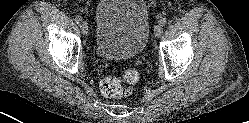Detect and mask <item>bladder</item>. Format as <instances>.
Listing matches in <instances>:
<instances>
[{
	"mask_svg": "<svg viewBox=\"0 0 249 123\" xmlns=\"http://www.w3.org/2000/svg\"><path fill=\"white\" fill-rule=\"evenodd\" d=\"M150 31L143 0H102L96 10L95 45L107 59H129L141 54Z\"/></svg>",
	"mask_w": 249,
	"mask_h": 123,
	"instance_id": "1",
	"label": "bladder"
}]
</instances>
